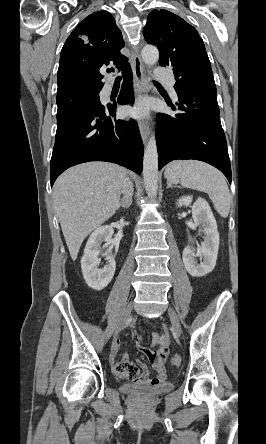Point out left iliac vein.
I'll return each instance as SVG.
<instances>
[{
	"instance_id": "4c4485c4",
	"label": "left iliac vein",
	"mask_w": 266,
	"mask_h": 444,
	"mask_svg": "<svg viewBox=\"0 0 266 444\" xmlns=\"http://www.w3.org/2000/svg\"><path fill=\"white\" fill-rule=\"evenodd\" d=\"M168 313L172 322L173 331L176 335L179 336L181 334V326L178 316L176 315L175 311L172 308L168 309Z\"/></svg>"
}]
</instances>
